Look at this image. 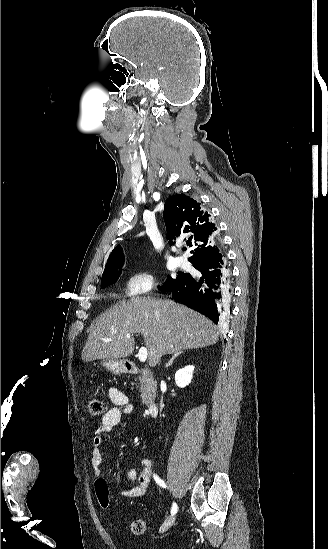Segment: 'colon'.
<instances>
[{"mask_svg":"<svg viewBox=\"0 0 328 549\" xmlns=\"http://www.w3.org/2000/svg\"><path fill=\"white\" fill-rule=\"evenodd\" d=\"M88 413L91 416H100L105 412V404L98 397L92 396L87 400ZM95 491L98 499V503L101 509H107L110 506V493L107 482L104 479H97L95 481ZM131 531L134 534H142L146 529V522L143 519L134 520L131 523Z\"/></svg>","mask_w":328,"mask_h":549,"instance_id":"5ec220e1","label":"colon"}]
</instances>
